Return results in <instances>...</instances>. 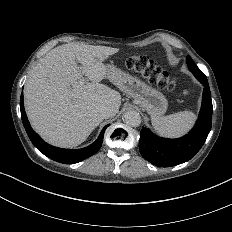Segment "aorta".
Instances as JSON below:
<instances>
[{
	"instance_id": "obj_1",
	"label": "aorta",
	"mask_w": 232,
	"mask_h": 232,
	"mask_svg": "<svg viewBox=\"0 0 232 232\" xmlns=\"http://www.w3.org/2000/svg\"><path fill=\"white\" fill-rule=\"evenodd\" d=\"M124 122L132 127H138L141 124V116L135 110H128L123 114Z\"/></svg>"
}]
</instances>
